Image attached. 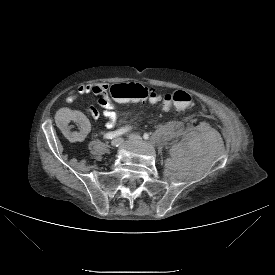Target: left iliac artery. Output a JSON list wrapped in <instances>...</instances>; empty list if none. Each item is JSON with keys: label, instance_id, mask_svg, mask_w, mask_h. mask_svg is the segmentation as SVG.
Instances as JSON below:
<instances>
[{"label": "left iliac artery", "instance_id": "1", "mask_svg": "<svg viewBox=\"0 0 275 275\" xmlns=\"http://www.w3.org/2000/svg\"><path fill=\"white\" fill-rule=\"evenodd\" d=\"M143 138H144V139H148V138H149V135H148L147 133H145V134L143 135Z\"/></svg>", "mask_w": 275, "mask_h": 275}]
</instances>
